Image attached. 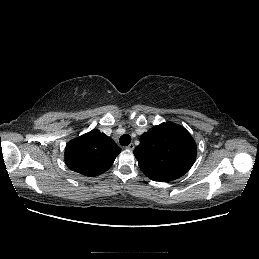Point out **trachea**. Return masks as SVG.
<instances>
[{"label":"trachea","mask_w":259,"mask_h":259,"mask_svg":"<svg viewBox=\"0 0 259 259\" xmlns=\"http://www.w3.org/2000/svg\"><path fill=\"white\" fill-rule=\"evenodd\" d=\"M119 142L122 146H127L131 142V136L128 134L122 135L119 139Z\"/></svg>","instance_id":"obj_1"}]
</instances>
